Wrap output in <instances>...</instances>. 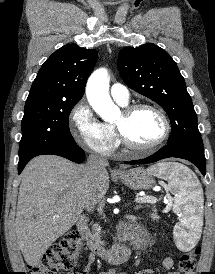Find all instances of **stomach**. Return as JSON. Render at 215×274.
<instances>
[{
  "mask_svg": "<svg viewBox=\"0 0 215 274\" xmlns=\"http://www.w3.org/2000/svg\"><path fill=\"white\" fill-rule=\"evenodd\" d=\"M118 177L123 184L134 190H147L155 185L153 174L143 167L123 171Z\"/></svg>",
  "mask_w": 215,
  "mask_h": 274,
  "instance_id": "obj_1",
  "label": "stomach"
}]
</instances>
